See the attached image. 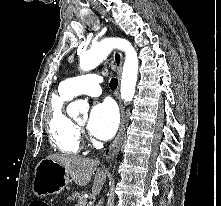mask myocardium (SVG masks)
Returning a JSON list of instances; mask_svg holds the SVG:
<instances>
[{"instance_id": "f54148a6", "label": "myocardium", "mask_w": 221, "mask_h": 206, "mask_svg": "<svg viewBox=\"0 0 221 206\" xmlns=\"http://www.w3.org/2000/svg\"><path fill=\"white\" fill-rule=\"evenodd\" d=\"M75 125L77 126L78 129H80L82 127V125L79 123H76Z\"/></svg>"}]
</instances>
